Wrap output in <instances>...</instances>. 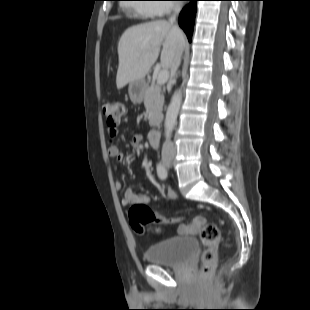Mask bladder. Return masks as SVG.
<instances>
[{
    "instance_id": "obj_1",
    "label": "bladder",
    "mask_w": 310,
    "mask_h": 310,
    "mask_svg": "<svg viewBox=\"0 0 310 310\" xmlns=\"http://www.w3.org/2000/svg\"><path fill=\"white\" fill-rule=\"evenodd\" d=\"M198 251V243L192 237H172L149 246L145 259L149 264L177 267L190 261Z\"/></svg>"
}]
</instances>
